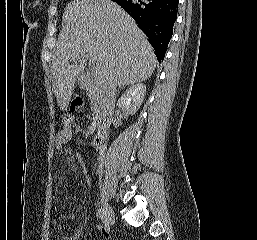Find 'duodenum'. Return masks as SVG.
Masks as SVG:
<instances>
[{"label": "duodenum", "mask_w": 257, "mask_h": 240, "mask_svg": "<svg viewBox=\"0 0 257 240\" xmlns=\"http://www.w3.org/2000/svg\"><path fill=\"white\" fill-rule=\"evenodd\" d=\"M110 130L107 125H100L94 136L93 142L97 149H103L109 140Z\"/></svg>", "instance_id": "1"}]
</instances>
